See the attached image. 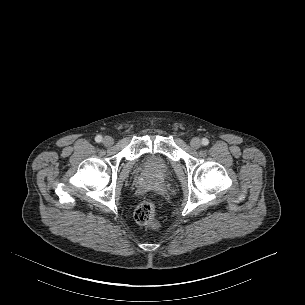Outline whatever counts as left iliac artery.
<instances>
[{
  "instance_id": "obj_1",
  "label": "left iliac artery",
  "mask_w": 305,
  "mask_h": 305,
  "mask_svg": "<svg viewBox=\"0 0 305 305\" xmlns=\"http://www.w3.org/2000/svg\"><path fill=\"white\" fill-rule=\"evenodd\" d=\"M202 144H203L204 146H207V145L209 144V140H208L207 138H203V139H202Z\"/></svg>"
}]
</instances>
